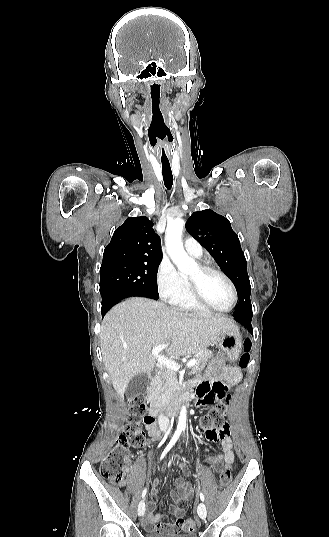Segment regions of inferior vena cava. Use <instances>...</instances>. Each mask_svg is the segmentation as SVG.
<instances>
[{"label":"inferior vena cava","instance_id":"1","mask_svg":"<svg viewBox=\"0 0 329 537\" xmlns=\"http://www.w3.org/2000/svg\"><path fill=\"white\" fill-rule=\"evenodd\" d=\"M158 424L161 430L166 431L169 426V418L161 413L158 417Z\"/></svg>","mask_w":329,"mask_h":537}]
</instances>
